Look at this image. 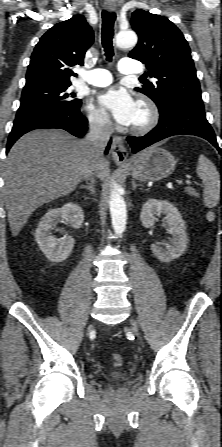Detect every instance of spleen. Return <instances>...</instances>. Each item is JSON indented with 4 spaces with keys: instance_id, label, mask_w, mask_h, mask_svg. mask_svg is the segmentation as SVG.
<instances>
[{
    "instance_id": "spleen-1",
    "label": "spleen",
    "mask_w": 222,
    "mask_h": 447,
    "mask_svg": "<svg viewBox=\"0 0 222 447\" xmlns=\"http://www.w3.org/2000/svg\"><path fill=\"white\" fill-rule=\"evenodd\" d=\"M197 174L204 184L203 200L207 207H215L220 199V176L215 165L204 155L198 159Z\"/></svg>"
}]
</instances>
